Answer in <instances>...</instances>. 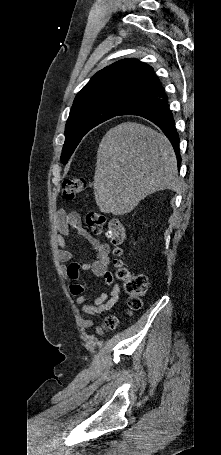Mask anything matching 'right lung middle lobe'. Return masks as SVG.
I'll list each match as a JSON object with an SVG mask.
<instances>
[{
    "label": "right lung middle lobe",
    "instance_id": "right-lung-middle-lobe-1",
    "mask_svg": "<svg viewBox=\"0 0 221 455\" xmlns=\"http://www.w3.org/2000/svg\"><path fill=\"white\" fill-rule=\"evenodd\" d=\"M124 109L112 103H92L70 111L65 128V143L61 162L66 163L82 137L98 124L120 115Z\"/></svg>",
    "mask_w": 221,
    "mask_h": 455
}]
</instances>
